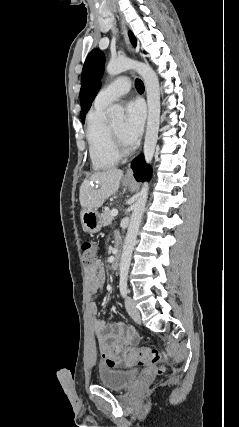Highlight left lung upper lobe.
Wrapping results in <instances>:
<instances>
[{
  "label": "left lung upper lobe",
  "mask_w": 239,
  "mask_h": 427,
  "mask_svg": "<svg viewBox=\"0 0 239 427\" xmlns=\"http://www.w3.org/2000/svg\"><path fill=\"white\" fill-rule=\"evenodd\" d=\"M129 36L132 44L136 46V39L131 32H129ZM104 62L105 56L99 49L92 50L85 60L82 70L80 90V118L83 123L85 115L101 87L100 80L104 72Z\"/></svg>",
  "instance_id": "5c2ea615"
}]
</instances>
